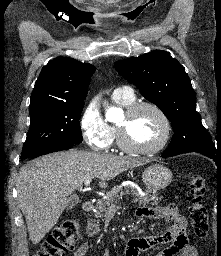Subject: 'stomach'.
<instances>
[{"instance_id": "stomach-1", "label": "stomach", "mask_w": 221, "mask_h": 256, "mask_svg": "<svg viewBox=\"0 0 221 256\" xmlns=\"http://www.w3.org/2000/svg\"><path fill=\"white\" fill-rule=\"evenodd\" d=\"M172 172L160 164L147 167L142 173V180L150 190L157 191L167 187L172 181Z\"/></svg>"}]
</instances>
